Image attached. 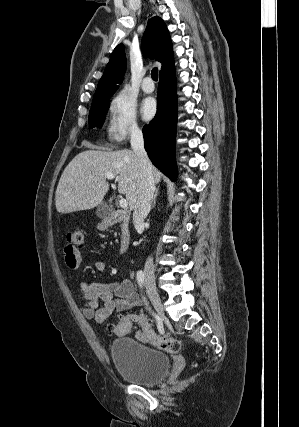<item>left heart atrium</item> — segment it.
Listing matches in <instances>:
<instances>
[{"instance_id":"1","label":"left heart atrium","mask_w":299,"mask_h":427,"mask_svg":"<svg viewBox=\"0 0 299 427\" xmlns=\"http://www.w3.org/2000/svg\"><path fill=\"white\" fill-rule=\"evenodd\" d=\"M156 113V103L152 98H146L141 105V114L145 120H150Z\"/></svg>"}]
</instances>
